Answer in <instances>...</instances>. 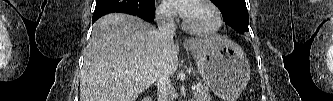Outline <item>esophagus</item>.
Instances as JSON below:
<instances>
[{
	"label": "esophagus",
	"instance_id": "obj_1",
	"mask_svg": "<svg viewBox=\"0 0 333 101\" xmlns=\"http://www.w3.org/2000/svg\"><path fill=\"white\" fill-rule=\"evenodd\" d=\"M185 43H187V44H188V43H189V41H188V40H186V41H185Z\"/></svg>",
	"mask_w": 333,
	"mask_h": 101
}]
</instances>
